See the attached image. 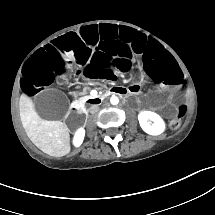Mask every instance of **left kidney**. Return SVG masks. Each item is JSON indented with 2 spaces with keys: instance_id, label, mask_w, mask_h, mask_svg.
Returning a JSON list of instances; mask_svg holds the SVG:
<instances>
[{
  "instance_id": "left-kidney-1",
  "label": "left kidney",
  "mask_w": 215,
  "mask_h": 215,
  "mask_svg": "<svg viewBox=\"0 0 215 215\" xmlns=\"http://www.w3.org/2000/svg\"><path fill=\"white\" fill-rule=\"evenodd\" d=\"M141 128L148 134L158 135L165 129L162 118L156 113L150 111H142L138 115Z\"/></svg>"
}]
</instances>
